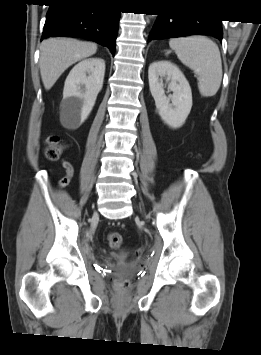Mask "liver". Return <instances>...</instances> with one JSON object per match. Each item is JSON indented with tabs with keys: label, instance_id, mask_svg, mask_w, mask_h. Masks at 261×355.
<instances>
[{
	"label": "liver",
	"instance_id": "6515ba94",
	"mask_svg": "<svg viewBox=\"0 0 261 355\" xmlns=\"http://www.w3.org/2000/svg\"><path fill=\"white\" fill-rule=\"evenodd\" d=\"M97 51V45L70 38H51L40 46V74L43 85L49 90L62 73L72 64L85 59Z\"/></svg>",
	"mask_w": 261,
	"mask_h": 355
}]
</instances>
